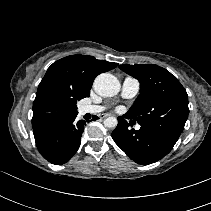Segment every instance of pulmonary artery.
<instances>
[{
  "label": "pulmonary artery",
  "instance_id": "obj_1",
  "mask_svg": "<svg viewBox=\"0 0 211 211\" xmlns=\"http://www.w3.org/2000/svg\"><path fill=\"white\" fill-rule=\"evenodd\" d=\"M140 89V83L137 79L133 77H126L122 83V92L121 95L123 98L130 99L133 98ZM106 109V106L104 105H84L81 107V113L82 114H97L102 112ZM140 126H137V129H139Z\"/></svg>",
  "mask_w": 211,
  "mask_h": 211
}]
</instances>
